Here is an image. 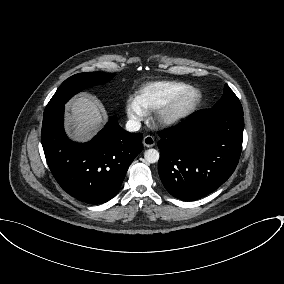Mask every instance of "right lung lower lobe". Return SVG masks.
<instances>
[{
	"mask_svg": "<svg viewBox=\"0 0 284 284\" xmlns=\"http://www.w3.org/2000/svg\"><path fill=\"white\" fill-rule=\"evenodd\" d=\"M64 106L43 116L41 141L48 166L64 191L80 201L101 204L120 189L142 134L128 133L116 119L88 143L69 140L63 129Z\"/></svg>",
	"mask_w": 284,
	"mask_h": 284,
	"instance_id": "98d812e1",
	"label": "right lung lower lobe"
}]
</instances>
